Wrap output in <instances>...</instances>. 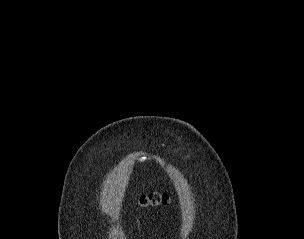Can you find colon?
<instances>
[{
  "mask_svg": "<svg viewBox=\"0 0 304 239\" xmlns=\"http://www.w3.org/2000/svg\"><path fill=\"white\" fill-rule=\"evenodd\" d=\"M168 201V197L162 193H150L147 195H143L139 198L138 204L141 207H156L165 205Z\"/></svg>",
  "mask_w": 304,
  "mask_h": 239,
  "instance_id": "5ec220e1",
  "label": "colon"
}]
</instances>
